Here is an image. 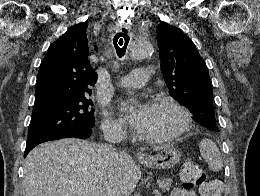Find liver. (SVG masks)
<instances>
[{"label":"liver","mask_w":260,"mask_h":196,"mask_svg":"<svg viewBox=\"0 0 260 196\" xmlns=\"http://www.w3.org/2000/svg\"><path fill=\"white\" fill-rule=\"evenodd\" d=\"M113 160H107L102 144L85 140L66 138L40 144L26 158V196H107L110 180L122 196H130L141 170L126 152H118Z\"/></svg>","instance_id":"liver-1"}]
</instances>
